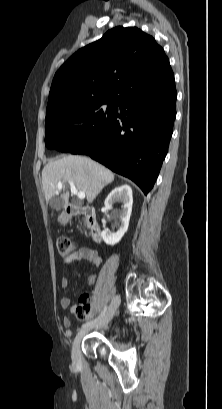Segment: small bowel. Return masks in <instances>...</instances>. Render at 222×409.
<instances>
[{"instance_id": "small-bowel-1", "label": "small bowel", "mask_w": 222, "mask_h": 409, "mask_svg": "<svg viewBox=\"0 0 222 409\" xmlns=\"http://www.w3.org/2000/svg\"><path fill=\"white\" fill-rule=\"evenodd\" d=\"M88 262L90 263L93 267H99L102 263L101 257L97 254V252L93 249L90 248H80L77 252H75L72 256H70L66 262L71 263V262ZM96 282V275L91 274L87 278V283L88 285H94ZM69 286V279L67 277H63L61 280V287L62 288H67ZM60 305L63 309H68L71 308V310H74L75 307H71V299L68 296H63L60 299ZM63 325L64 327L67 328L65 332V337L70 338L72 336V331L70 328L72 327V321L69 317H64L63 319Z\"/></svg>"}]
</instances>
